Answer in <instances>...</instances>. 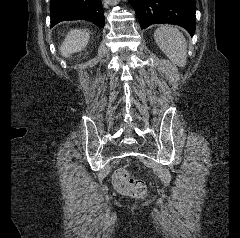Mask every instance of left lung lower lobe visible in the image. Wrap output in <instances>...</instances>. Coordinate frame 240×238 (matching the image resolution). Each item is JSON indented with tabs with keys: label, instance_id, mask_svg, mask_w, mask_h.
<instances>
[{
	"label": "left lung lower lobe",
	"instance_id": "0a47b994",
	"mask_svg": "<svg viewBox=\"0 0 240 238\" xmlns=\"http://www.w3.org/2000/svg\"><path fill=\"white\" fill-rule=\"evenodd\" d=\"M141 28L155 23H171L195 32V0H129Z\"/></svg>",
	"mask_w": 240,
	"mask_h": 238
}]
</instances>
